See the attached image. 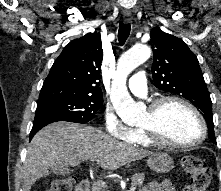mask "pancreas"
Returning <instances> with one entry per match:
<instances>
[{
  "label": "pancreas",
  "mask_w": 221,
  "mask_h": 191,
  "mask_svg": "<svg viewBox=\"0 0 221 191\" xmlns=\"http://www.w3.org/2000/svg\"><path fill=\"white\" fill-rule=\"evenodd\" d=\"M145 180L144 173H137L132 176L131 187L136 188L137 186H142ZM91 191H107L106 187L101 184H94Z\"/></svg>",
  "instance_id": "1"
}]
</instances>
